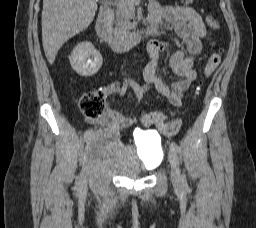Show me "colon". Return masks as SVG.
Here are the masks:
<instances>
[{
  "label": "colon",
  "mask_w": 256,
  "mask_h": 228,
  "mask_svg": "<svg viewBox=\"0 0 256 228\" xmlns=\"http://www.w3.org/2000/svg\"><path fill=\"white\" fill-rule=\"evenodd\" d=\"M184 4H191L193 0H181ZM207 22L214 28L219 27V23L212 17H207ZM221 61L220 52H216L209 58L203 68L204 78H209L216 70ZM106 95L101 91L86 93L79 100V108L84 116L89 119H96L103 114L105 108ZM142 122L146 126H158L168 122L165 121L161 112H149L143 115Z\"/></svg>",
  "instance_id": "5ec220e1"
}]
</instances>
